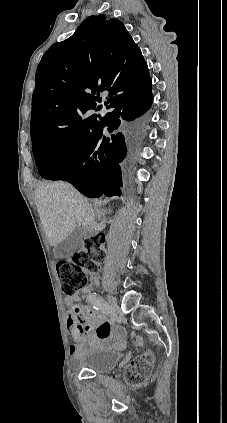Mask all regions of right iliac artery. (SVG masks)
<instances>
[{"label":"right iliac artery","instance_id":"obj_1","mask_svg":"<svg viewBox=\"0 0 227 423\" xmlns=\"http://www.w3.org/2000/svg\"><path fill=\"white\" fill-rule=\"evenodd\" d=\"M87 300L93 308L100 310L102 313L107 314L111 324L117 323V314L114 312L113 309L110 308L109 303L105 302L102 298L98 297L95 292L89 293L87 296Z\"/></svg>","mask_w":227,"mask_h":423}]
</instances>
